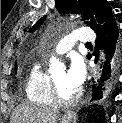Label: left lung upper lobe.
Returning <instances> with one entry per match:
<instances>
[{"label":"left lung upper lobe","mask_w":122,"mask_h":123,"mask_svg":"<svg viewBox=\"0 0 122 123\" xmlns=\"http://www.w3.org/2000/svg\"><path fill=\"white\" fill-rule=\"evenodd\" d=\"M55 5L57 10L63 13H89L95 15L98 24H96L95 20L88 22V25L94 31L99 30L112 14L107 0H55ZM45 18L46 16L42 17L31 31L36 30L44 22Z\"/></svg>","instance_id":"5c2ea615"}]
</instances>
